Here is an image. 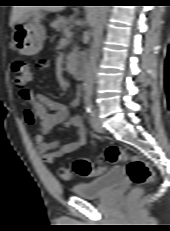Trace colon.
<instances>
[{
	"label": "colon",
	"instance_id": "1",
	"mask_svg": "<svg viewBox=\"0 0 170 231\" xmlns=\"http://www.w3.org/2000/svg\"><path fill=\"white\" fill-rule=\"evenodd\" d=\"M11 70L14 75L15 85L18 90L26 89L34 75L33 65L23 59H16L12 62ZM101 160L116 164L124 162L126 164L127 174L135 187L130 192V197L138 196L141 190L153 182L154 172L152 168L141 158L135 155H129L125 150L117 145L109 146ZM103 168L100 164L95 165L87 158H77L71 168L59 167L58 176L66 182L73 181L76 176L92 177L100 174Z\"/></svg>",
	"mask_w": 170,
	"mask_h": 231
}]
</instances>
